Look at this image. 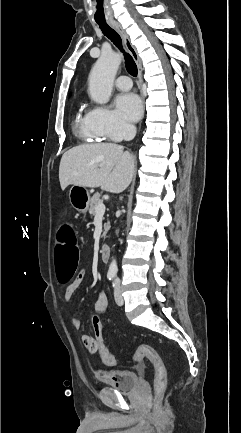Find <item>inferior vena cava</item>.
Segmentation results:
<instances>
[{
    "label": "inferior vena cava",
    "instance_id": "obj_1",
    "mask_svg": "<svg viewBox=\"0 0 241 433\" xmlns=\"http://www.w3.org/2000/svg\"><path fill=\"white\" fill-rule=\"evenodd\" d=\"M136 135V127L132 124H125L123 128V136L126 141L132 140Z\"/></svg>",
    "mask_w": 241,
    "mask_h": 433
}]
</instances>
